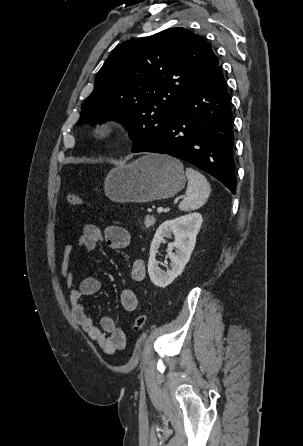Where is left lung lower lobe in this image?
<instances>
[{
	"label": "left lung lower lobe",
	"instance_id": "1",
	"mask_svg": "<svg viewBox=\"0 0 303 446\" xmlns=\"http://www.w3.org/2000/svg\"><path fill=\"white\" fill-rule=\"evenodd\" d=\"M232 111L218 65L178 105L159 136L135 152L168 154L209 173L236 191Z\"/></svg>",
	"mask_w": 303,
	"mask_h": 446
}]
</instances>
